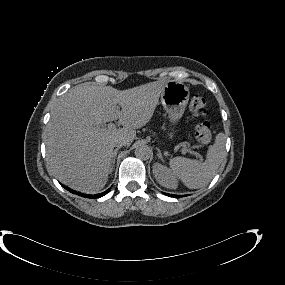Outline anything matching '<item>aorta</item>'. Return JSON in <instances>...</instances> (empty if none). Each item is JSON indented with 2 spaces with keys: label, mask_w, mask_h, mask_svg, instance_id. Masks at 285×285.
Instances as JSON below:
<instances>
[{
  "label": "aorta",
  "mask_w": 285,
  "mask_h": 285,
  "mask_svg": "<svg viewBox=\"0 0 285 285\" xmlns=\"http://www.w3.org/2000/svg\"><path fill=\"white\" fill-rule=\"evenodd\" d=\"M151 155V150L146 144H138L135 148V156L141 160H148Z\"/></svg>",
  "instance_id": "aorta-1"
}]
</instances>
